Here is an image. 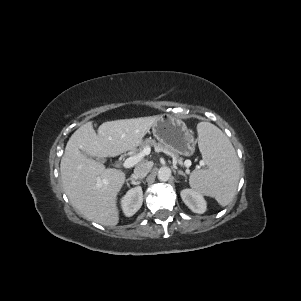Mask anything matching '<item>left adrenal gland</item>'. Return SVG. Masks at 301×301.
<instances>
[{"label":"left adrenal gland","mask_w":301,"mask_h":301,"mask_svg":"<svg viewBox=\"0 0 301 301\" xmlns=\"http://www.w3.org/2000/svg\"><path fill=\"white\" fill-rule=\"evenodd\" d=\"M177 173H178L179 175L186 176V174H185L183 171H181V170H177Z\"/></svg>","instance_id":"obj_1"}]
</instances>
